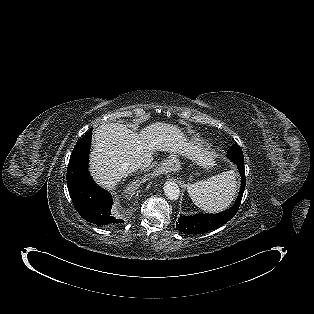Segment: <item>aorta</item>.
I'll return each instance as SVG.
<instances>
[{"label": "aorta", "mask_w": 314, "mask_h": 314, "mask_svg": "<svg viewBox=\"0 0 314 314\" xmlns=\"http://www.w3.org/2000/svg\"><path fill=\"white\" fill-rule=\"evenodd\" d=\"M164 194L170 200H177L180 196V188L179 186L172 181H167L164 184Z\"/></svg>", "instance_id": "obj_1"}]
</instances>
